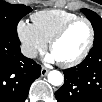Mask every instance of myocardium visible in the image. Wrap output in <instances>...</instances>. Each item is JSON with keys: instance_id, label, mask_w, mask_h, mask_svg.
Masks as SVG:
<instances>
[{"instance_id": "obj_1", "label": "myocardium", "mask_w": 102, "mask_h": 102, "mask_svg": "<svg viewBox=\"0 0 102 102\" xmlns=\"http://www.w3.org/2000/svg\"><path fill=\"white\" fill-rule=\"evenodd\" d=\"M78 22H84L87 25L89 29V39L84 50L77 58L71 61H67V62H59L61 66L66 67V68L73 67L80 64L89 54L93 45V41H94V29L92 27V24L90 23L88 19L83 18V17H78L66 23L49 41V50L52 51V49L57 44V42H59L68 32V30Z\"/></svg>"}]
</instances>
